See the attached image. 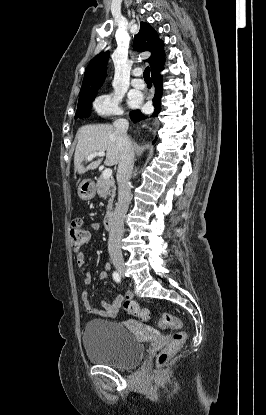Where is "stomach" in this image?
Wrapping results in <instances>:
<instances>
[{
	"mask_svg": "<svg viewBox=\"0 0 266 415\" xmlns=\"http://www.w3.org/2000/svg\"><path fill=\"white\" fill-rule=\"evenodd\" d=\"M78 196L81 200L88 201L95 197V185L87 179L83 180L78 187Z\"/></svg>",
	"mask_w": 266,
	"mask_h": 415,
	"instance_id": "stomach-1",
	"label": "stomach"
}]
</instances>
